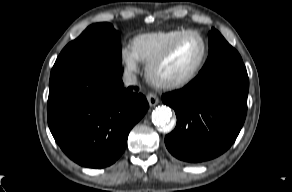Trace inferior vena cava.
<instances>
[{"label": "inferior vena cava", "instance_id": "inferior-vena-cava-1", "mask_svg": "<svg viewBox=\"0 0 292 192\" xmlns=\"http://www.w3.org/2000/svg\"><path fill=\"white\" fill-rule=\"evenodd\" d=\"M123 82L125 86L135 85L137 83V77L134 73L125 72L123 74Z\"/></svg>", "mask_w": 292, "mask_h": 192}]
</instances>
